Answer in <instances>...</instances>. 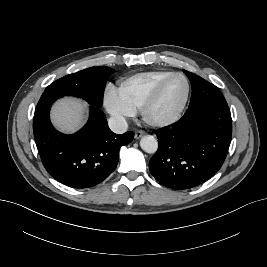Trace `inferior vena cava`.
Listing matches in <instances>:
<instances>
[{
    "instance_id": "obj_1",
    "label": "inferior vena cava",
    "mask_w": 267,
    "mask_h": 267,
    "mask_svg": "<svg viewBox=\"0 0 267 267\" xmlns=\"http://www.w3.org/2000/svg\"><path fill=\"white\" fill-rule=\"evenodd\" d=\"M108 125L110 129L117 134H122L128 129V124L125 118L122 116H114L109 118Z\"/></svg>"
}]
</instances>
